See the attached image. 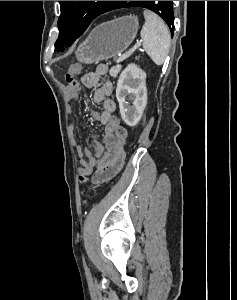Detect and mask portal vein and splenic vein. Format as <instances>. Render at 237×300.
I'll return each instance as SVG.
<instances>
[{
  "label": "portal vein and splenic vein",
  "instance_id": "portal-vein-and-splenic-vein-1",
  "mask_svg": "<svg viewBox=\"0 0 237 300\" xmlns=\"http://www.w3.org/2000/svg\"><path fill=\"white\" fill-rule=\"evenodd\" d=\"M141 45V41L140 43L138 42H135V45L131 46V48H129V50L126 52H124L120 58H117L116 61H113V64H116L117 66H120L123 62L122 61H125V59H129L130 57H132L136 51V48L138 49Z\"/></svg>",
  "mask_w": 237,
  "mask_h": 300
}]
</instances>
